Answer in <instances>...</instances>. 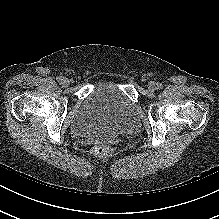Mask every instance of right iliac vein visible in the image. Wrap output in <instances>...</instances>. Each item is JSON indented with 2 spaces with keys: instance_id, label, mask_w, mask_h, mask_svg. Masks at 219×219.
<instances>
[{
  "instance_id": "obj_1",
  "label": "right iliac vein",
  "mask_w": 219,
  "mask_h": 219,
  "mask_svg": "<svg viewBox=\"0 0 219 219\" xmlns=\"http://www.w3.org/2000/svg\"><path fill=\"white\" fill-rule=\"evenodd\" d=\"M62 85L64 87H67L70 85V80L68 78H63V80L61 81Z\"/></svg>"
}]
</instances>
